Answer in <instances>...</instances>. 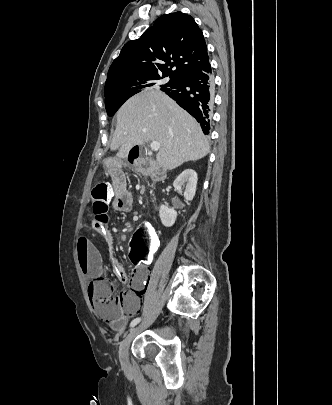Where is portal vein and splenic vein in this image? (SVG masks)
<instances>
[{
  "mask_svg": "<svg viewBox=\"0 0 332 405\" xmlns=\"http://www.w3.org/2000/svg\"><path fill=\"white\" fill-rule=\"evenodd\" d=\"M150 148L153 152H156L160 148V143L158 141H153L150 143Z\"/></svg>",
  "mask_w": 332,
  "mask_h": 405,
  "instance_id": "18ae733b",
  "label": "portal vein and splenic vein"
}]
</instances>
